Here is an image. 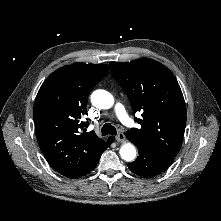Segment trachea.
I'll use <instances>...</instances> for the list:
<instances>
[{"instance_id": "trachea-1", "label": "trachea", "mask_w": 221, "mask_h": 221, "mask_svg": "<svg viewBox=\"0 0 221 221\" xmlns=\"http://www.w3.org/2000/svg\"><path fill=\"white\" fill-rule=\"evenodd\" d=\"M102 136H105V135H116V128L114 126H112L110 123H106L103 125L102 127Z\"/></svg>"}]
</instances>
